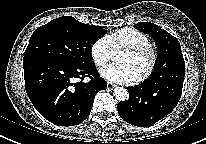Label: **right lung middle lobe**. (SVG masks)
Returning a JSON list of instances; mask_svg holds the SVG:
<instances>
[{
  "label": "right lung middle lobe",
  "instance_id": "obj_1",
  "mask_svg": "<svg viewBox=\"0 0 206 144\" xmlns=\"http://www.w3.org/2000/svg\"><path fill=\"white\" fill-rule=\"evenodd\" d=\"M105 32L102 26L84 24L70 16L56 18L33 32L23 59L43 57L74 66L91 64L92 44Z\"/></svg>",
  "mask_w": 206,
  "mask_h": 144
}]
</instances>
